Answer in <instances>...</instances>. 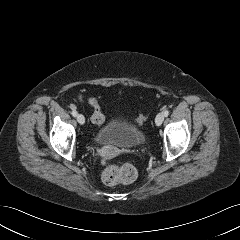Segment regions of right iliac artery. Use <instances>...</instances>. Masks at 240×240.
<instances>
[{
	"label": "right iliac artery",
	"mask_w": 240,
	"mask_h": 240,
	"mask_svg": "<svg viewBox=\"0 0 240 240\" xmlns=\"http://www.w3.org/2000/svg\"><path fill=\"white\" fill-rule=\"evenodd\" d=\"M71 114H72V116H74V117L77 116V112H76L75 110H73V111L71 112Z\"/></svg>",
	"instance_id": "right-iliac-artery-1"
}]
</instances>
